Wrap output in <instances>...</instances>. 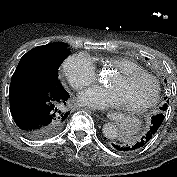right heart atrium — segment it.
<instances>
[{"label":"right heart atrium","mask_w":177,"mask_h":177,"mask_svg":"<svg viewBox=\"0 0 177 177\" xmlns=\"http://www.w3.org/2000/svg\"><path fill=\"white\" fill-rule=\"evenodd\" d=\"M62 71L70 85L81 90L97 79V69L92 58L86 53H76L65 59Z\"/></svg>","instance_id":"d8ad5b80"}]
</instances>
